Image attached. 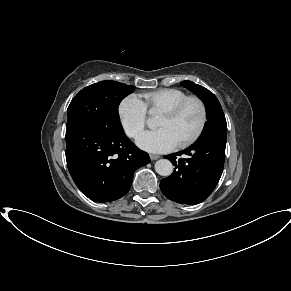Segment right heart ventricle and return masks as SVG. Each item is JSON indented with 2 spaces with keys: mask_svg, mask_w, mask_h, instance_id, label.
<instances>
[{
  "mask_svg": "<svg viewBox=\"0 0 291 291\" xmlns=\"http://www.w3.org/2000/svg\"><path fill=\"white\" fill-rule=\"evenodd\" d=\"M188 96L186 92L175 88L158 89L141 95L146 109L154 114H161Z\"/></svg>",
  "mask_w": 291,
  "mask_h": 291,
  "instance_id": "right-heart-ventricle-1",
  "label": "right heart ventricle"
}]
</instances>
